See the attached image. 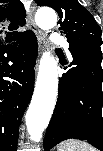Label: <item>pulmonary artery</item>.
<instances>
[{"mask_svg": "<svg viewBox=\"0 0 103 151\" xmlns=\"http://www.w3.org/2000/svg\"><path fill=\"white\" fill-rule=\"evenodd\" d=\"M51 40L54 43L61 44L66 50H68V48H69L68 42L62 36H60L59 34L53 33L52 36H51Z\"/></svg>", "mask_w": 103, "mask_h": 151, "instance_id": "e3ab8cb5", "label": "pulmonary artery"}]
</instances>
